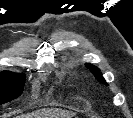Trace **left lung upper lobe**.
Wrapping results in <instances>:
<instances>
[{
    "mask_svg": "<svg viewBox=\"0 0 133 118\" xmlns=\"http://www.w3.org/2000/svg\"><path fill=\"white\" fill-rule=\"evenodd\" d=\"M85 66H86L88 69H90V71L94 74V76L96 77V79H97L99 82H101V83H103V84H107V83L105 82L104 78L102 77V74H101L100 70H99L96 66H94V65H92V64H90V63H86Z\"/></svg>",
    "mask_w": 133,
    "mask_h": 118,
    "instance_id": "obj_1",
    "label": "left lung upper lobe"
}]
</instances>
